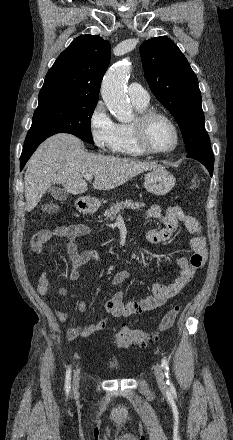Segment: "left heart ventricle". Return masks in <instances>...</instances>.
I'll list each match as a JSON object with an SVG mask.
<instances>
[{
  "label": "left heart ventricle",
  "instance_id": "left-heart-ventricle-1",
  "mask_svg": "<svg viewBox=\"0 0 233 440\" xmlns=\"http://www.w3.org/2000/svg\"><path fill=\"white\" fill-rule=\"evenodd\" d=\"M148 141L157 150L169 149L175 141L174 131L167 121L156 118L149 125Z\"/></svg>",
  "mask_w": 233,
  "mask_h": 440
}]
</instances>
